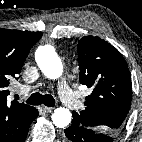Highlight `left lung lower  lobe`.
I'll use <instances>...</instances> for the list:
<instances>
[{
  "instance_id": "left-lung-lower-lobe-1",
  "label": "left lung lower lobe",
  "mask_w": 142,
  "mask_h": 142,
  "mask_svg": "<svg viewBox=\"0 0 142 142\" xmlns=\"http://www.w3.org/2000/svg\"><path fill=\"white\" fill-rule=\"evenodd\" d=\"M67 142H113L110 133L98 132L95 129L81 126L73 120L71 126L64 130Z\"/></svg>"
}]
</instances>
